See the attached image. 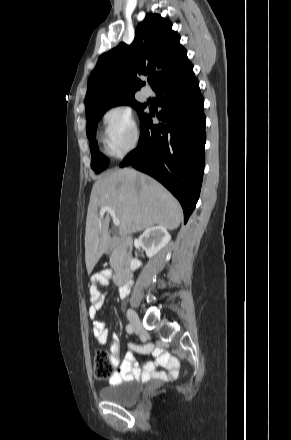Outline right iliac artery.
<instances>
[{"label": "right iliac artery", "instance_id": "1", "mask_svg": "<svg viewBox=\"0 0 291 440\" xmlns=\"http://www.w3.org/2000/svg\"><path fill=\"white\" fill-rule=\"evenodd\" d=\"M126 331H127L129 334L133 333V327H132V325L128 324V325L126 326Z\"/></svg>", "mask_w": 291, "mask_h": 440}]
</instances>
